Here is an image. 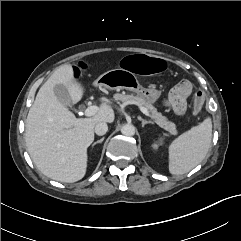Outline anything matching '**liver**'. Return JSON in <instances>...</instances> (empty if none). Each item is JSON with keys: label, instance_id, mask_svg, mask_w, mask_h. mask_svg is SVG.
<instances>
[{"label": "liver", "instance_id": "6515ba94", "mask_svg": "<svg viewBox=\"0 0 241 241\" xmlns=\"http://www.w3.org/2000/svg\"><path fill=\"white\" fill-rule=\"evenodd\" d=\"M66 88L75 104L84 94L83 86L73 80V67H58L39 89L25 125V142L35 166L45 176L60 182L81 180L87 169V148L94 140L99 122L112 123L113 108L103 102L90 118H76L56 97L54 87Z\"/></svg>", "mask_w": 241, "mask_h": 241}]
</instances>
